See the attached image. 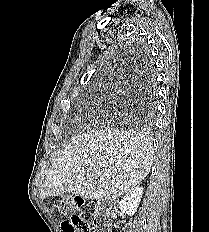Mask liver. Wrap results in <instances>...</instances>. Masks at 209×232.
<instances>
[{"label":"liver","instance_id":"liver-1","mask_svg":"<svg viewBox=\"0 0 209 232\" xmlns=\"http://www.w3.org/2000/svg\"><path fill=\"white\" fill-rule=\"evenodd\" d=\"M152 138L145 131L105 127L79 136L58 156L42 185L41 199L72 193L83 199L114 200L139 184L153 164Z\"/></svg>","mask_w":209,"mask_h":232}]
</instances>
